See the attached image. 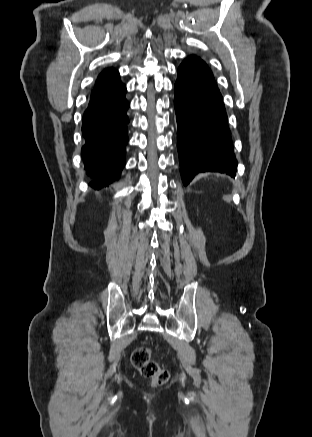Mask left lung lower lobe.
<instances>
[{"label": "left lung lower lobe", "instance_id": "0a47b994", "mask_svg": "<svg viewBox=\"0 0 312 437\" xmlns=\"http://www.w3.org/2000/svg\"><path fill=\"white\" fill-rule=\"evenodd\" d=\"M177 74L174 106L184 185L199 172L234 176L237 160L223 98L211 70L204 61L193 56L180 65Z\"/></svg>", "mask_w": 312, "mask_h": 437}]
</instances>
